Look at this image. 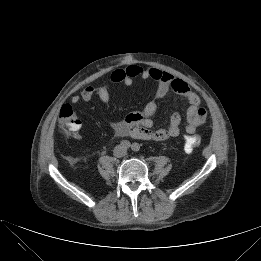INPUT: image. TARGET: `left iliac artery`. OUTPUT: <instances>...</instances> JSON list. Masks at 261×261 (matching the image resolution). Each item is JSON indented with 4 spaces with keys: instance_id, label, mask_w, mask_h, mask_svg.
<instances>
[{
    "instance_id": "left-iliac-artery-1",
    "label": "left iliac artery",
    "mask_w": 261,
    "mask_h": 261,
    "mask_svg": "<svg viewBox=\"0 0 261 261\" xmlns=\"http://www.w3.org/2000/svg\"><path fill=\"white\" fill-rule=\"evenodd\" d=\"M131 148H132V150H133L134 152H137V151H139L140 146H139L137 143H134Z\"/></svg>"
}]
</instances>
